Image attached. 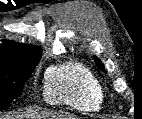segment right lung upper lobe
<instances>
[{"mask_svg": "<svg viewBox=\"0 0 142 119\" xmlns=\"http://www.w3.org/2000/svg\"><path fill=\"white\" fill-rule=\"evenodd\" d=\"M41 54L35 46L6 41L0 44V67L39 61Z\"/></svg>", "mask_w": 142, "mask_h": 119, "instance_id": "obj_1", "label": "right lung upper lobe"}]
</instances>
